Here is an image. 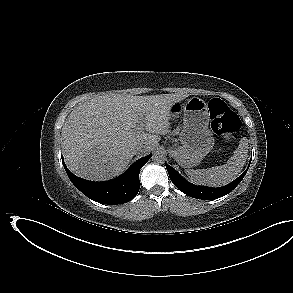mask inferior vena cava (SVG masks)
I'll return each mask as SVG.
<instances>
[{
  "instance_id": "inferior-vena-cava-1",
  "label": "inferior vena cava",
  "mask_w": 293,
  "mask_h": 293,
  "mask_svg": "<svg viewBox=\"0 0 293 293\" xmlns=\"http://www.w3.org/2000/svg\"><path fill=\"white\" fill-rule=\"evenodd\" d=\"M142 150V146L140 145V146H137L136 148H135V152L137 153V152H139V151H141Z\"/></svg>"
}]
</instances>
